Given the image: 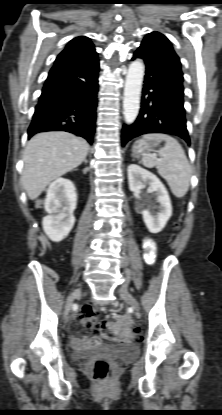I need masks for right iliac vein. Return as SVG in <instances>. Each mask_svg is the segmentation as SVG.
<instances>
[{
  "mask_svg": "<svg viewBox=\"0 0 222 415\" xmlns=\"http://www.w3.org/2000/svg\"><path fill=\"white\" fill-rule=\"evenodd\" d=\"M80 295V290L76 289L73 293L70 294V296L68 297L67 301H66V306H65V317H67V315L69 314L71 307L73 305L74 300Z\"/></svg>",
  "mask_w": 222,
  "mask_h": 415,
  "instance_id": "obj_1",
  "label": "right iliac vein"
}]
</instances>
